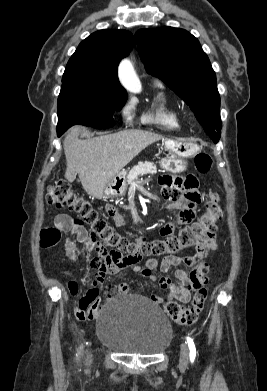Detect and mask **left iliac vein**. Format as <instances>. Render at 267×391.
I'll use <instances>...</instances> for the list:
<instances>
[{"label":"left iliac vein","mask_w":267,"mask_h":391,"mask_svg":"<svg viewBox=\"0 0 267 391\" xmlns=\"http://www.w3.org/2000/svg\"><path fill=\"white\" fill-rule=\"evenodd\" d=\"M188 355H189V349L186 343L181 344V351H180V367L185 368L188 364Z\"/></svg>","instance_id":"left-iliac-vein-1"}]
</instances>
